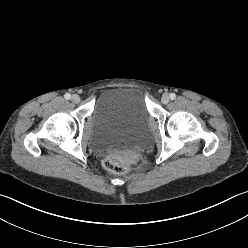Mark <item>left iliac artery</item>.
I'll return each mask as SVG.
<instances>
[{
	"mask_svg": "<svg viewBox=\"0 0 248 248\" xmlns=\"http://www.w3.org/2000/svg\"><path fill=\"white\" fill-rule=\"evenodd\" d=\"M169 97L171 100H174L176 98V95L175 93H170Z\"/></svg>",
	"mask_w": 248,
	"mask_h": 248,
	"instance_id": "44dca946",
	"label": "left iliac artery"
}]
</instances>
